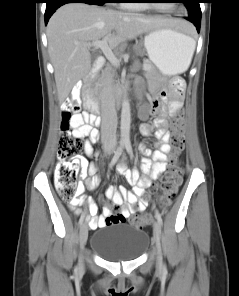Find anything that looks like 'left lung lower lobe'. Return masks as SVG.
I'll list each match as a JSON object with an SVG mask.
<instances>
[{
	"label": "left lung lower lobe",
	"mask_w": 239,
	"mask_h": 296,
	"mask_svg": "<svg viewBox=\"0 0 239 296\" xmlns=\"http://www.w3.org/2000/svg\"><path fill=\"white\" fill-rule=\"evenodd\" d=\"M185 19H187L190 22H192L196 26L198 32L200 31L201 19H197V18H194L192 16H187V17H185Z\"/></svg>",
	"instance_id": "obj_1"
}]
</instances>
